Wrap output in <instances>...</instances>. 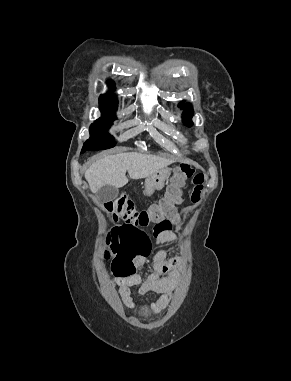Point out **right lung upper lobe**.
Here are the masks:
<instances>
[{
    "mask_svg": "<svg viewBox=\"0 0 291 381\" xmlns=\"http://www.w3.org/2000/svg\"><path fill=\"white\" fill-rule=\"evenodd\" d=\"M109 86L114 87V83L112 81H109ZM100 101L117 105V99L112 93H108L106 95H101Z\"/></svg>",
    "mask_w": 291,
    "mask_h": 381,
    "instance_id": "cb5924a9",
    "label": "right lung upper lobe"
}]
</instances>
